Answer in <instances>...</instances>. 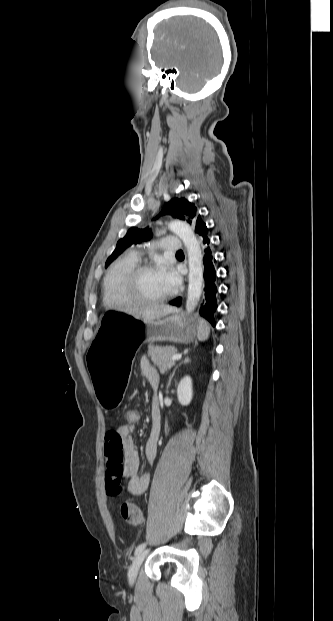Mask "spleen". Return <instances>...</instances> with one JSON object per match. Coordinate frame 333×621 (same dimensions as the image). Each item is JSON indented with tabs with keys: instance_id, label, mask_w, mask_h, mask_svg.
<instances>
[{
	"instance_id": "spleen-1",
	"label": "spleen",
	"mask_w": 333,
	"mask_h": 621,
	"mask_svg": "<svg viewBox=\"0 0 333 621\" xmlns=\"http://www.w3.org/2000/svg\"><path fill=\"white\" fill-rule=\"evenodd\" d=\"M209 334H210L209 324L206 322V320L200 318L198 321V332H197L198 340L199 341L207 340Z\"/></svg>"
}]
</instances>
